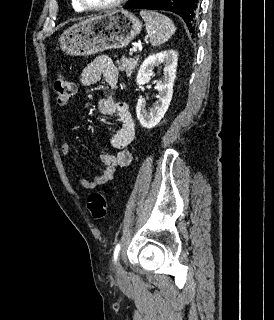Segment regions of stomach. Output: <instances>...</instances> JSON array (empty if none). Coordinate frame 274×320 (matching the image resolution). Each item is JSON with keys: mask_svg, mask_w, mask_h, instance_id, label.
Instances as JSON below:
<instances>
[{"mask_svg": "<svg viewBox=\"0 0 274 320\" xmlns=\"http://www.w3.org/2000/svg\"><path fill=\"white\" fill-rule=\"evenodd\" d=\"M142 24L127 10L111 14H95L65 30L60 36L62 52L68 56H92L105 50L126 48L133 38L141 34Z\"/></svg>", "mask_w": 274, "mask_h": 320, "instance_id": "stomach-1", "label": "stomach"}]
</instances>
